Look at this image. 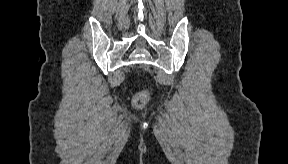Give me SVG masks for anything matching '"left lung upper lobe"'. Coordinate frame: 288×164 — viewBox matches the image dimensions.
<instances>
[{"instance_id": "5c2ea615", "label": "left lung upper lobe", "mask_w": 288, "mask_h": 164, "mask_svg": "<svg viewBox=\"0 0 288 164\" xmlns=\"http://www.w3.org/2000/svg\"><path fill=\"white\" fill-rule=\"evenodd\" d=\"M252 87L257 89L259 87V82H257V81L253 82Z\"/></svg>"}]
</instances>
